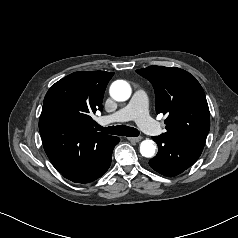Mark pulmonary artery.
I'll return each mask as SVG.
<instances>
[{
	"label": "pulmonary artery",
	"instance_id": "e3ab8cb5",
	"mask_svg": "<svg viewBox=\"0 0 238 238\" xmlns=\"http://www.w3.org/2000/svg\"><path fill=\"white\" fill-rule=\"evenodd\" d=\"M135 120L140 128L149 135H159L160 126L149 116L147 108V94L144 90H136L126 106L115 113L102 116L99 123L102 125Z\"/></svg>",
	"mask_w": 238,
	"mask_h": 238
}]
</instances>
